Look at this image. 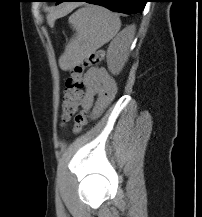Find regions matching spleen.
Instances as JSON below:
<instances>
[{"instance_id": "3e777b00", "label": "spleen", "mask_w": 202, "mask_h": 217, "mask_svg": "<svg viewBox=\"0 0 202 217\" xmlns=\"http://www.w3.org/2000/svg\"><path fill=\"white\" fill-rule=\"evenodd\" d=\"M76 37L68 43L65 54L70 60L80 59L109 42L120 30L119 16L97 5L78 9L69 17ZM130 39L134 31L129 30Z\"/></svg>"}]
</instances>
